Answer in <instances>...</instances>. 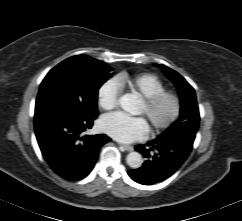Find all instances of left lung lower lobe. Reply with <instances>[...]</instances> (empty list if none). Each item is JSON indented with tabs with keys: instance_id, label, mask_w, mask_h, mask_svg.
Instances as JSON below:
<instances>
[{
	"instance_id": "1",
	"label": "left lung lower lobe",
	"mask_w": 242,
	"mask_h": 221,
	"mask_svg": "<svg viewBox=\"0 0 242 221\" xmlns=\"http://www.w3.org/2000/svg\"><path fill=\"white\" fill-rule=\"evenodd\" d=\"M194 137L157 138L145 145H137L146 161L142 167L128 171L137 183L152 185L173 175L189 156Z\"/></svg>"
}]
</instances>
